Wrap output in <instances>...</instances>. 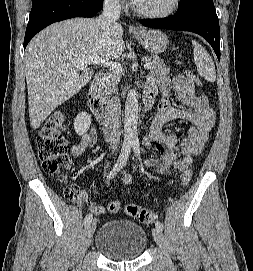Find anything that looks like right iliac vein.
Wrapping results in <instances>:
<instances>
[{
  "label": "right iliac vein",
  "instance_id": "63e3f726",
  "mask_svg": "<svg viewBox=\"0 0 253 271\" xmlns=\"http://www.w3.org/2000/svg\"><path fill=\"white\" fill-rule=\"evenodd\" d=\"M96 227V220H91V222H89L88 224H86L85 228H84V232H83V237H82V249L83 251H85L91 241H92V237H93V233Z\"/></svg>",
  "mask_w": 253,
  "mask_h": 271
}]
</instances>
